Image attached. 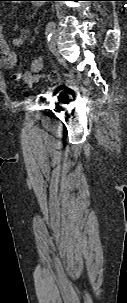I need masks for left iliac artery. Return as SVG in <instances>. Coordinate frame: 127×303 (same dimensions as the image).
<instances>
[{
  "instance_id": "1",
  "label": "left iliac artery",
  "mask_w": 127,
  "mask_h": 303,
  "mask_svg": "<svg viewBox=\"0 0 127 303\" xmlns=\"http://www.w3.org/2000/svg\"><path fill=\"white\" fill-rule=\"evenodd\" d=\"M54 29H55V23L53 21L49 22L45 31L48 40H50V37L52 36V32Z\"/></svg>"
}]
</instances>
